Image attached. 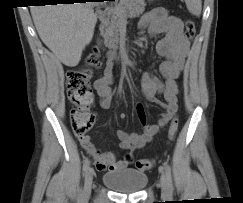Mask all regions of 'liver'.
I'll list each match as a JSON object with an SVG mask.
<instances>
[{
    "label": "liver",
    "instance_id": "obj_1",
    "mask_svg": "<svg viewBox=\"0 0 243 203\" xmlns=\"http://www.w3.org/2000/svg\"><path fill=\"white\" fill-rule=\"evenodd\" d=\"M93 6V3L87 2L31 8L42 42L66 66L75 67L79 64L82 51L93 38L97 22Z\"/></svg>",
    "mask_w": 243,
    "mask_h": 203
}]
</instances>
